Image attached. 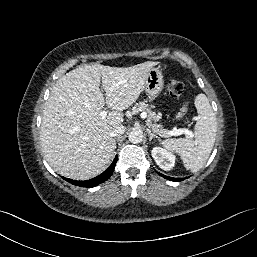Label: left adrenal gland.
I'll return each instance as SVG.
<instances>
[{
    "mask_svg": "<svg viewBox=\"0 0 257 257\" xmlns=\"http://www.w3.org/2000/svg\"><path fill=\"white\" fill-rule=\"evenodd\" d=\"M147 132L149 134V141H152L153 138H157L159 140V137L156 134L152 133L151 130L147 129Z\"/></svg>",
    "mask_w": 257,
    "mask_h": 257,
    "instance_id": "left-adrenal-gland-1",
    "label": "left adrenal gland"
}]
</instances>
